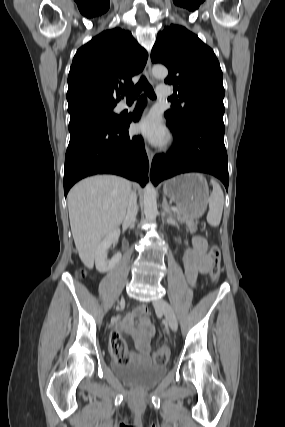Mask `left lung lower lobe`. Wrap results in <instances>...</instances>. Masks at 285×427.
<instances>
[{"instance_id":"1","label":"left lung lower lobe","mask_w":285,"mask_h":427,"mask_svg":"<svg viewBox=\"0 0 285 427\" xmlns=\"http://www.w3.org/2000/svg\"><path fill=\"white\" fill-rule=\"evenodd\" d=\"M167 125L174 133V145L171 153L154 157L150 173L152 182L157 185L181 173L203 172L219 178L228 190L223 121L201 117L179 127L167 118Z\"/></svg>"}]
</instances>
